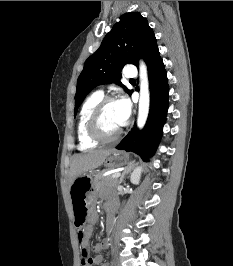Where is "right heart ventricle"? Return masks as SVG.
<instances>
[{"label": "right heart ventricle", "instance_id": "e07e8e85", "mask_svg": "<svg viewBox=\"0 0 233 266\" xmlns=\"http://www.w3.org/2000/svg\"><path fill=\"white\" fill-rule=\"evenodd\" d=\"M103 97L104 94L102 91L93 92L86 98L80 109L78 122H77V136H78L79 147L82 150L91 149L98 145V142L92 140L88 136L87 123L93 108Z\"/></svg>", "mask_w": 233, "mask_h": 266}]
</instances>
